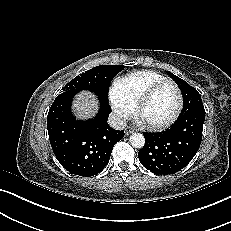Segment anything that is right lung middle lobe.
<instances>
[{
    "mask_svg": "<svg viewBox=\"0 0 231 231\" xmlns=\"http://www.w3.org/2000/svg\"><path fill=\"white\" fill-rule=\"evenodd\" d=\"M123 65L96 66L72 79L63 88L64 92L89 90L94 92L100 101L108 103V89L112 79L123 69Z\"/></svg>",
    "mask_w": 231,
    "mask_h": 231,
    "instance_id": "right-lung-middle-lobe-1",
    "label": "right lung middle lobe"
}]
</instances>
